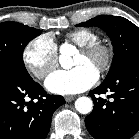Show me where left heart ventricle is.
Segmentation results:
<instances>
[{"instance_id": "obj_1", "label": "left heart ventricle", "mask_w": 139, "mask_h": 139, "mask_svg": "<svg viewBox=\"0 0 139 139\" xmlns=\"http://www.w3.org/2000/svg\"><path fill=\"white\" fill-rule=\"evenodd\" d=\"M99 64V59L87 56L86 54L82 53L81 51L78 52L76 55L73 65L79 66V65H88L91 66L93 69L97 71Z\"/></svg>"}]
</instances>
